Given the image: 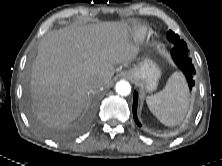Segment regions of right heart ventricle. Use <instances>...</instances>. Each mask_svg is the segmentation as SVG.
Instances as JSON below:
<instances>
[{
  "instance_id": "e07e8e85",
  "label": "right heart ventricle",
  "mask_w": 222,
  "mask_h": 166,
  "mask_svg": "<svg viewBox=\"0 0 222 166\" xmlns=\"http://www.w3.org/2000/svg\"><path fill=\"white\" fill-rule=\"evenodd\" d=\"M145 29L144 28H139V29H137L136 31H135V38L137 39V40H141L143 37H144V35H145Z\"/></svg>"
}]
</instances>
